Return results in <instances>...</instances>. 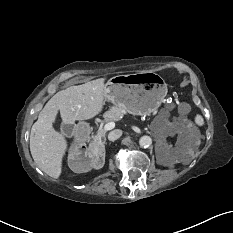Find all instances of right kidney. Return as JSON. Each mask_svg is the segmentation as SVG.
I'll use <instances>...</instances> for the list:
<instances>
[{
    "instance_id": "1",
    "label": "right kidney",
    "mask_w": 233,
    "mask_h": 233,
    "mask_svg": "<svg viewBox=\"0 0 233 233\" xmlns=\"http://www.w3.org/2000/svg\"><path fill=\"white\" fill-rule=\"evenodd\" d=\"M105 164V149L103 146L90 147L84 157L79 151H72L68 156V165L75 173H86L90 170L100 169Z\"/></svg>"
}]
</instances>
